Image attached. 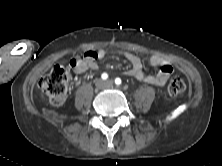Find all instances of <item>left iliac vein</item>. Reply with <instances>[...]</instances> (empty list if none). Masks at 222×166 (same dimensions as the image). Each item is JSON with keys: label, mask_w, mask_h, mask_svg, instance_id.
Segmentation results:
<instances>
[{"label": "left iliac vein", "mask_w": 222, "mask_h": 166, "mask_svg": "<svg viewBox=\"0 0 222 166\" xmlns=\"http://www.w3.org/2000/svg\"><path fill=\"white\" fill-rule=\"evenodd\" d=\"M106 85H107V86H112V85H113V81H112V80L106 81Z\"/></svg>", "instance_id": "left-iliac-vein-1"}]
</instances>
